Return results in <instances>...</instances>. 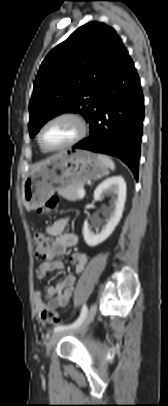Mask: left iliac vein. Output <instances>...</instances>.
<instances>
[{
  "instance_id": "obj_1",
  "label": "left iliac vein",
  "mask_w": 168,
  "mask_h": 406,
  "mask_svg": "<svg viewBox=\"0 0 168 406\" xmlns=\"http://www.w3.org/2000/svg\"><path fill=\"white\" fill-rule=\"evenodd\" d=\"M96 311H97V305H96V303H94L90 307L85 319L79 326H77L76 328L70 329V330H63V331L55 332L47 344V355L50 354L51 349L54 347V345L57 343V341L64 335L74 334V333H78V332L85 330L89 326V324L92 322V320L94 319Z\"/></svg>"
}]
</instances>
